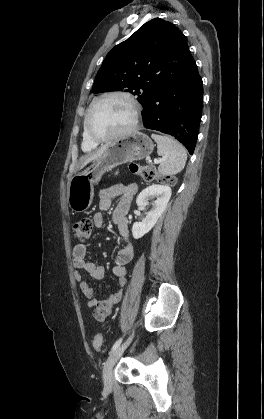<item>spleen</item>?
Wrapping results in <instances>:
<instances>
[{
	"label": "spleen",
	"mask_w": 264,
	"mask_h": 419,
	"mask_svg": "<svg viewBox=\"0 0 264 419\" xmlns=\"http://www.w3.org/2000/svg\"><path fill=\"white\" fill-rule=\"evenodd\" d=\"M151 137L157 143L158 155L163 157L158 171L168 176L181 172L187 160V153L182 144L170 136L152 134Z\"/></svg>",
	"instance_id": "3e777b00"
}]
</instances>
